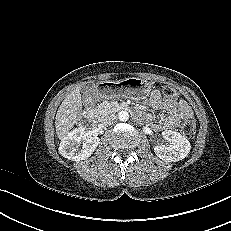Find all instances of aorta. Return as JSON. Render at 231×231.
Wrapping results in <instances>:
<instances>
[{
	"label": "aorta",
	"instance_id": "obj_1",
	"mask_svg": "<svg viewBox=\"0 0 231 231\" xmlns=\"http://www.w3.org/2000/svg\"><path fill=\"white\" fill-rule=\"evenodd\" d=\"M118 118L120 121L124 122V121H128L129 119V114L126 111H121L118 113Z\"/></svg>",
	"mask_w": 231,
	"mask_h": 231
}]
</instances>
